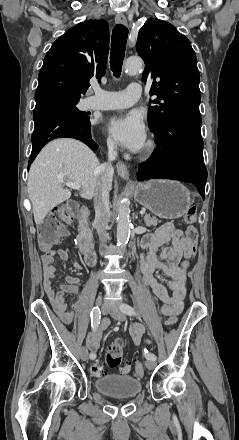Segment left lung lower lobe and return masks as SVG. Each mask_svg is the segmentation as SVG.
Wrapping results in <instances>:
<instances>
[{"mask_svg": "<svg viewBox=\"0 0 239 440\" xmlns=\"http://www.w3.org/2000/svg\"><path fill=\"white\" fill-rule=\"evenodd\" d=\"M199 112L183 111L167 118L154 131L157 149L150 161L138 167V178H168L193 183L205 197L207 169Z\"/></svg>", "mask_w": 239, "mask_h": 440, "instance_id": "obj_1", "label": "left lung lower lobe"}]
</instances>
